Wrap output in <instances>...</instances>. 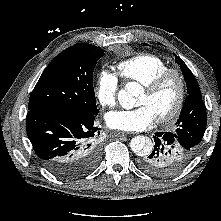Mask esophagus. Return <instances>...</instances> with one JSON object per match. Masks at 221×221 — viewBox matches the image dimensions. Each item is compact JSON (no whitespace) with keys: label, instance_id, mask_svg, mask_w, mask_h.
<instances>
[{"label":"esophagus","instance_id":"34e87169","mask_svg":"<svg viewBox=\"0 0 221 221\" xmlns=\"http://www.w3.org/2000/svg\"><path fill=\"white\" fill-rule=\"evenodd\" d=\"M127 134H128V133H126V132H121V131H115V132L112 133V135L115 136V137H121V136H125V135H127Z\"/></svg>","mask_w":221,"mask_h":221}]
</instances>
